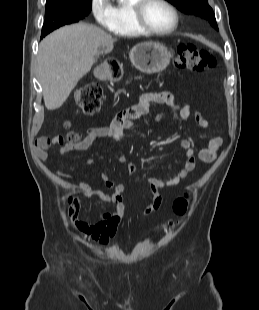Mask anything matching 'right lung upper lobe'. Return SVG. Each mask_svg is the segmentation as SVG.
<instances>
[{"label": "right lung upper lobe", "mask_w": 259, "mask_h": 310, "mask_svg": "<svg viewBox=\"0 0 259 310\" xmlns=\"http://www.w3.org/2000/svg\"><path fill=\"white\" fill-rule=\"evenodd\" d=\"M81 1H88V0H46V5L58 4L62 2H81Z\"/></svg>", "instance_id": "cb5924a9"}]
</instances>
